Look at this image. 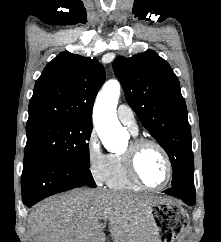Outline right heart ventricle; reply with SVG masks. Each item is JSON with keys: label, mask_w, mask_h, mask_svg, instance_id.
<instances>
[{"label": "right heart ventricle", "mask_w": 221, "mask_h": 242, "mask_svg": "<svg viewBox=\"0 0 221 242\" xmlns=\"http://www.w3.org/2000/svg\"><path fill=\"white\" fill-rule=\"evenodd\" d=\"M105 182L108 187L116 190L137 191L141 188L129 176L121 153L109 155V166Z\"/></svg>", "instance_id": "1"}]
</instances>
